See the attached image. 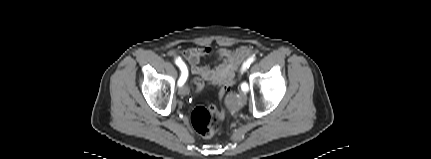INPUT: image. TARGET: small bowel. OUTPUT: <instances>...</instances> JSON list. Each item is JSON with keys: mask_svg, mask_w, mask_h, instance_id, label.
I'll return each mask as SVG.
<instances>
[{"mask_svg": "<svg viewBox=\"0 0 431 159\" xmlns=\"http://www.w3.org/2000/svg\"><path fill=\"white\" fill-rule=\"evenodd\" d=\"M212 53L213 50L209 46L193 47L181 50L177 58L186 60L191 67V73L194 78H201L204 85L208 83L212 86L220 87L235 77V73L242 63L253 54V50L247 46H241L234 50L220 48L216 51V55L222 61L219 65L215 68L200 66L201 58ZM174 54H176L175 51H170V55Z\"/></svg>", "mask_w": 431, "mask_h": 159, "instance_id": "c3829d8e", "label": "small bowel"}]
</instances>
